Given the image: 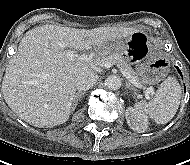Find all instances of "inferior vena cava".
I'll return each mask as SVG.
<instances>
[{
    "label": "inferior vena cava",
    "instance_id": "602c4592",
    "mask_svg": "<svg viewBox=\"0 0 190 165\" xmlns=\"http://www.w3.org/2000/svg\"><path fill=\"white\" fill-rule=\"evenodd\" d=\"M98 80V75L94 71H85L79 74L75 80L78 91L89 90Z\"/></svg>",
    "mask_w": 190,
    "mask_h": 165
}]
</instances>
